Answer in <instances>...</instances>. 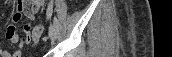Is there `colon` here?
<instances>
[{
    "instance_id": "obj_1",
    "label": "colon",
    "mask_w": 172,
    "mask_h": 57,
    "mask_svg": "<svg viewBox=\"0 0 172 57\" xmlns=\"http://www.w3.org/2000/svg\"><path fill=\"white\" fill-rule=\"evenodd\" d=\"M34 30H35V32H37V33H42L43 30H44V28H43L42 25H38V26H36V27L34 28Z\"/></svg>"
}]
</instances>
